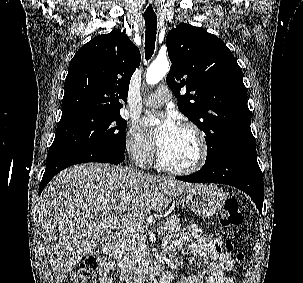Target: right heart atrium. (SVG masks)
Segmentation results:
<instances>
[{
	"label": "right heart atrium",
	"instance_id": "1",
	"mask_svg": "<svg viewBox=\"0 0 303 283\" xmlns=\"http://www.w3.org/2000/svg\"><path fill=\"white\" fill-rule=\"evenodd\" d=\"M126 149L139 164H147L154 155V148L136 126H131L126 134Z\"/></svg>",
	"mask_w": 303,
	"mask_h": 283
}]
</instances>
